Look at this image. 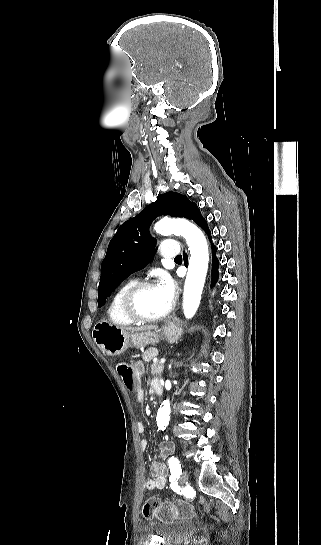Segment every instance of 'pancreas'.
I'll return each instance as SVG.
<instances>
[{
	"label": "pancreas",
	"instance_id": "pancreas-1",
	"mask_svg": "<svg viewBox=\"0 0 321 545\" xmlns=\"http://www.w3.org/2000/svg\"><path fill=\"white\" fill-rule=\"evenodd\" d=\"M164 367L160 363H152L151 365V375H161Z\"/></svg>",
	"mask_w": 321,
	"mask_h": 545
}]
</instances>
